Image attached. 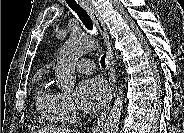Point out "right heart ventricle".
<instances>
[{
    "label": "right heart ventricle",
    "mask_w": 184,
    "mask_h": 133,
    "mask_svg": "<svg viewBox=\"0 0 184 133\" xmlns=\"http://www.w3.org/2000/svg\"><path fill=\"white\" fill-rule=\"evenodd\" d=\"M60 93L48 82H43L36 95V105L39 112L52 123L63 121L59 111Z\"/></svg>",
    "instance_id": "obj_1"
}]
</instances>
